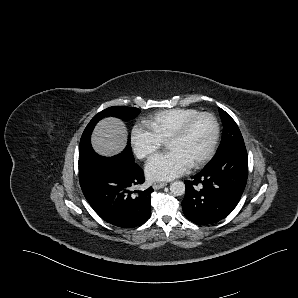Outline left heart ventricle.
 I'll list each match as a JSON object with an SVG mask.
<instances>
[{"label": "left heart ventricle", "mask_w": 298, "mask_h": 298, "mask_svg": "<svg viewBox=\"0 0 298 298\" xmlns=\"http://www.w3.org/2000/svg\"><path fill=\"white\" fill-rule=\"evenodd\" d=\"M211 136V124L201 118L192 124L182 135L174 139L168 149L180 155L190 165L206 149Z\"/></svg>", "instance_id": "1"}]
</instances>
